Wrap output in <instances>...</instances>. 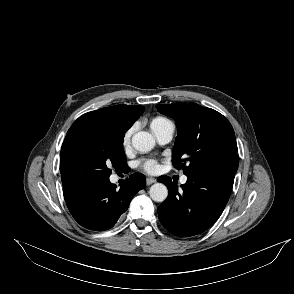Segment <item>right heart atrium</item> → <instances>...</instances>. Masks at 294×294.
Returning a JSON list of instances; mask_svg holds the SVG:
<instances>
[{
    "instance_id": "obj_1",
    "label": "right heart atrium",
    "mask_w": 294,
    "mask_h": 294,
    "mask_svg": "<svg viewBox=\"0 0 294 294\" xmlns=\"http://www.w3.org/2000/svg\"><path fill=\"white\" fill-rule=\"evenodd\" d=\"M131 134H132V128L129 129L123 137V146L124 147L128 146V144L130 143Z\"/></svg>"
}]
</instances>
